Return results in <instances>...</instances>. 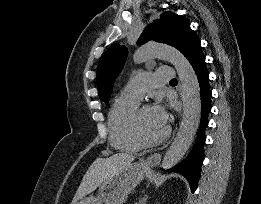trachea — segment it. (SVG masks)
Instances as JSON below:
<instances>
[{"label":"trachea","instance_id":"3493384b","mask_svg":"<svg viewBox=\"0 0 261 204\" xmlns=\"http://www.w3.org/2000/svg\"><path fill=\"white\" fill-rule=\"evenodd\" d=\"M173 81H177V80L176 79H172L171 82H173Z\"/></svg>","mask_w":261,"mask_h":204}]
</instances>
